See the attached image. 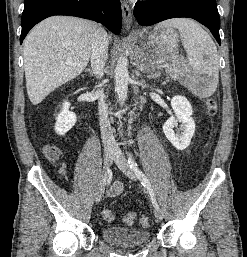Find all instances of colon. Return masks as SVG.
<instances>
[{
  "label": "colon",
  "mask_w": 247,
  "mask_h": 257,
  "mask_svg": "<svg viewBox=\"0 0 247 257\" xmlns=\"http://www.w3.org/2000/svg\"><path fill=\"white\" fill-rule=\"evenodd\" d=\"M207 110L210 115H215L217 113V99L212 97L207 100ZM44 154L48 159H53L57 157L58 151L54 146H45ZM102 217L105 221L111 222L113 220V212L110 209H104L102 211ZM136 221V215L133 213H126L123 217V222L127 225H132ZM139 223L142 227H148L150 224L147 215H141L139 218Z\"/></svg>",
  "instance_id": "1"
}]
</instances>
